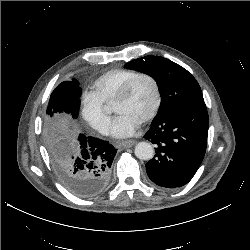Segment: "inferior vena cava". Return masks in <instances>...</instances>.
<instances>
[{
    "mask_svg": "<svg viewBox=\"0 0 250 250\" xmlns=\"http://www.w3.org/2000/svg\"><path fill=\"white\" fill-rule=\"evenodd\" d=\"M105 134H107V129L103 131Z\"/></svg>",
    "mask_w": 250,
    "mask_h": 250,
    "instance_id": "obj_1",
    "label": "inferior vena cava"
}]
</instances>
